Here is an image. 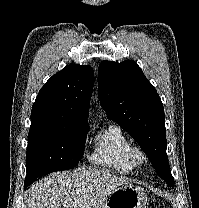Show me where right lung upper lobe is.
Masks as SVG:
<instances>
[{"instance_id": "cb5924a9", "label": "right lung upper lobe", "mask_w": 199, "mask_h": 208, "mask_svg": "<svg viewBox=\"0 0 199 208\" xmlns=\"http://www.w3.org/2000/svg\"><path fill=\"white\" fill-rule=\"evenodd\" d=\"M90 66L69 65L53 75L39 91L32 106L31 121L64 125L87 123L93 91Z\"/></svg>"}]
</instances>
